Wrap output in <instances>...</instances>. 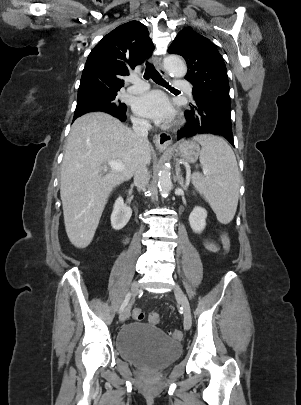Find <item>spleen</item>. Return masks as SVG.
Masks as SVG:
<instances>
[{"instance_id": "spleen-1", "label": "spleen", "mask_w": 301, "mask_h": 405, "mask_svg": "<svg viewBox=\"0 0 301 405\" xmlns=\"http://www.w3.org/2000/svg\"><path fill=\"white\" fill-rule=\"evenodd\" d=\"M200 163L204 175L194 173L192 183L205 196L217 219L228 224L234 217L239 193V171L231 147L220 137L199 135Z\"/></svg>"}]
</instances>
